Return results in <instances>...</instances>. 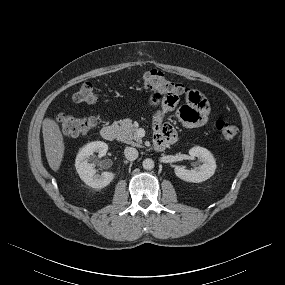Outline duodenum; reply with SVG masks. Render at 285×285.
Here are the masks:
<instances>
[{
	"label": "duodenum",
	"instance_id": "410a0bca",
	"mask_svg": "<svg viewBox=\"0 0 285 285\" xmlns=\"http://www.w3.org/2000/svg\"><path fill=\"white\" fill-rule=\"evenodd\" d=\"M100 133H101V136L103 139H105L107 141H113L116 138L117 130H116V127H114L112 125H106V126L102 127ZM168 144H169V141H167L163 137L155 138V140H154V148L157 151L165 150V148L168 146Z\"/></svg>",
	"mask_w": 285,
	"mask_h": 285
}]
</instances>
